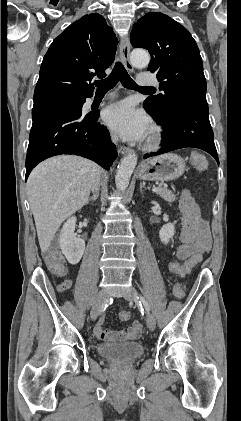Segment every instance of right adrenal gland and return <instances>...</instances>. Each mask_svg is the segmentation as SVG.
<instances>
[{
    "instance_id": "obj_1",
    "label": "right adrenal gland",
    "mask_w": 241,
    "mask_h": 421,
    "mask_svg": "<svg viewBox=\"0 0 241 421\" xmlns=\"http://www.w3.org/2000/svg\"><path fill=\"white\" fill-rule=\"evenodd\" d=\"M98 197H99V192L97 191V192H95V194H94L92 197H90V198L87 200L86 204H88L90 201L95 202V201L97 200V198H98Z\"/></svg>"
}]
</instances>
